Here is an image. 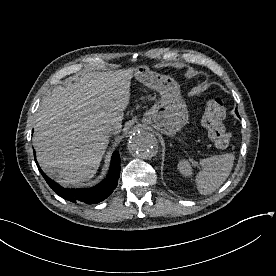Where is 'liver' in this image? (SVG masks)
Segmentation results:
<instances>
[{"mask_svg": "<svg viewBox=\"0 0 276 276\" xmlns=\"http://www.w3.org/2000/svg\"><path fill=\"white\" fill-rule=\"evenodd\" d=\"M134 72L86 73L66 87H54L42 100L33 145L41 168L62 186L81 184L96 174L109 144L104 126L115 123L121 129Z\"/></svg>", "mask_w": 276, "mask_h": 276, "instance_id": "obj_1", "label": "liver"}]
</instances>
